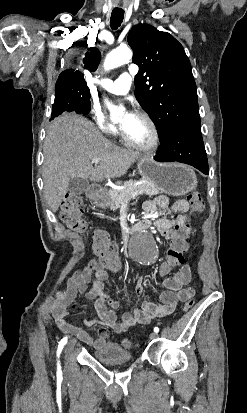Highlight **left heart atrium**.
I'll list each match as a JSON object with an SVG mask.
<instances>
[{
    "label": "left heart atrium",
    "instance_id": "39dd6f15",
    "mask_svg": "<svg viewBox=\"0 0 247 413\" xmlns=\"http://www.w3.org/2000/svg\"><path fill=\"white\" fill-rule=\"evenodd\" d=\"M139 120L140 118L137 113L128 112L125 119V127L129 128L131 126H134Z\"/></svg>",
    "mask_w": 247,
    "mask_h": 413
}]
</instances>
